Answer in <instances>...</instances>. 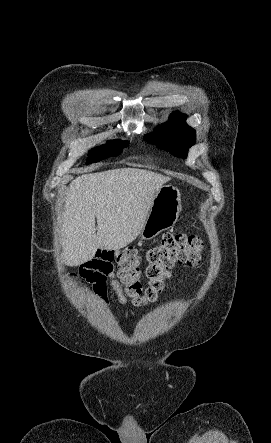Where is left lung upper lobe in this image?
I'll return each instance as SVG.
<instances>
[{
	"label": "left lung upper lobe",
	"instance_id": "1",
	"mask_svg": "<svg viewBox=\"0 0 271 443\" xmlns=\"http://www.w3.org/2000/svg\"><path fill=\"white\" fill-rule=\"evenodd\" d=\"M185 120L186 115L174 112L168 123L157 126L154 133L145 135V139L172 155L186 158L188 148L195 144L196 132Z\"/></svg>",
	"mask_w": 271,
	"mask_h": 443
}]
</instances>
